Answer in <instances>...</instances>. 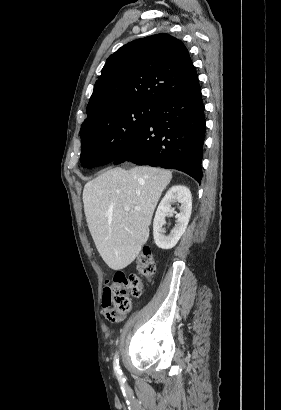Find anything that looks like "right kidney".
I'll list each match as a JSON object with an SVG mask.
<instances>
[{
	"instance_id": "obj_1",
	"label": "right kidney",
	"mask_w": 281,
	"mask_h": 410,
	"mask_svg": "<svg viewBox=\"0 0 281 410\" xmlns=\"http://www.w3.org/2000/svg\"><path fill=\"white\" fill-rule=\"evenodd\" d=\"M175 202L181 204L180 213L175 217L177 223L170 232L165 235V217L171 211V205ZM192 210V196L190 190L183 185H175L171 187L164 198L161 200L153 222V236L155 244L161 249L173 248L182 234L185 232Z\"/></svg>"
}]
</instances>
